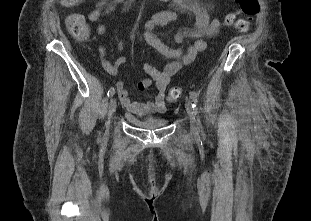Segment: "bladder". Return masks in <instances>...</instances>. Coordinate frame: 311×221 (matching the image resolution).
Listing matches in <instances>:
<instances>
[{
  "label": "bladder",
  "instance_id": "bladder-1",
  "mask_svg": "<svg viewBox=\"0 0 311 221\" xmlns=\"http://www.w3.org/2000/svg\"><path fill=\"white\" fill-rule=\"evenodd\" d=\"M125 117L133 118V123L146 130H155L165 128L169 122V118H161L155 115H145L143 118H135L132 114L125 113Z\"/></svg>",
  "mask_w": 311,
  "mask_h": 221
}]
</instances>
